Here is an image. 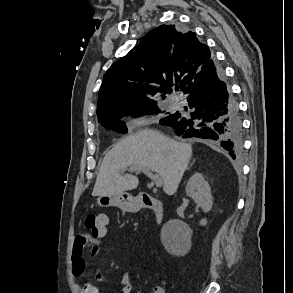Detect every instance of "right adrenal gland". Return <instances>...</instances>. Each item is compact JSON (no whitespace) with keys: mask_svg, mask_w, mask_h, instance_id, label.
<instances>
[{"mask_svg":"<svg viewBox=\"0 0 293 293\" xmlns=\"http://www.w3.org/2000/svg\"><path fill=\"white\" fill-rule=\"evenodd\" d=\"M195 160H193V162H194ZM192 166V163H191V165L189 166V168H188V170L190 169V167Z\"/></svg>","mask_w":293,"mask_h":293,"instance_id":"1","label":"right adrenal gland"}]
</instances>
